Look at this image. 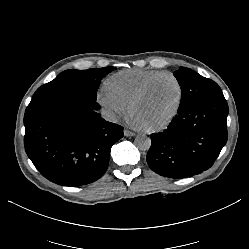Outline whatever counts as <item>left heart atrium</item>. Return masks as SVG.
I'll return each instance as SVG.
<instances>
[{
  "label": "left heart atrium",
  "instance_id": "1",
  "mask_svg": "<svg viewBox=\"0 0 249 249\" xmlns=\"http://www.w3.org/2000/svg\"><path fill=\"white\" fill-rule=\"evenodd\" d=\"M128 121L135 128H138V129L144 128L143 124L140 122V120L138 119V117L133 112L129 113V115H128Z\"/></svg>",
  "mask_w": 249,
  "mask_h": 249
}]
</instances>
